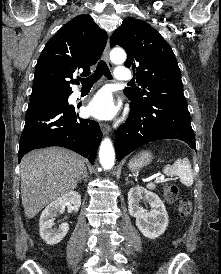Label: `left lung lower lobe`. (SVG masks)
I'll return each mask as SVG.
<instances>
[{"label": "left lung lower lobe", "mask_w": 221, "mask_h": 274, "mask_svg": "<svg viewBox=\"0 0 221 274\" xmlns=\"http://www.w3.org/2000/svg\"><path fill=\"white\" fill-rule=\"evenodd\" d=\"M130 114L116 132L117 160L140 146L160 139H180L196 150L187 101H158L130 104Z\"/></svg>", "instance_id": "obj_1"}]
</instances>
